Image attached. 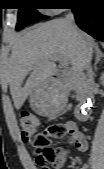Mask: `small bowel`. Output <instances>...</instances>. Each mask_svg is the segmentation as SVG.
<instances>
[{"label": "small bowel", "mask_w": 104, "mask_h": 169, "mask_svg": "<svg viewBox=\"0 0 104 169\" xmlns=\"http://www.w3.org/2000/svg\"><path fill=\"white\" fill-rule=\"evenodd\" d=\"M65 124L69 128V135L74 142V146L78 151L85 152L88 149V142L83 132L79 131L77 125L73 121H67ZM67 159V152L64 149L59 150V160L57 168H61ZM79 169H90L88 164H84Z\"/></svg>", "instance_id": "1"}]
</instances>
